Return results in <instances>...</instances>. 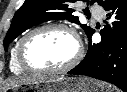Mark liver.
Here are the masks:
<instances>
[{"label": "liver", "mask_w": 127, "mask_h": 92, "mask_svg": "<svg viewBox=\"0 0 127 92\" xmlns=\"http://www.w3.org/2000/svg\"><path fill=\"white\" fill-rule=\"evenodd\" d=\"M58 77H46L45 75L43 76H37V77H23V78H17V79H12L8 81L4 87V90H8L13 87L20 86L22 84H35L39 82H45V81H52L57 79Z\"/></svg>", "instance_id": "1"}]
</instances>
